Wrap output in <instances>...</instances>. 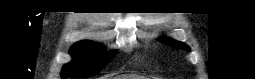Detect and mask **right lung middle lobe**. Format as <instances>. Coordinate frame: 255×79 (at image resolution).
Returning <instances> with one entry per match:
<instances>
[{
  "label": "right lung middle lobe",
  "mask_w": 255,
  "mask_h": 79,
  "mask_svg": "<svg viewBox=\"0 0 255 79\" xmlns=\"http://www.w3.org/2000/svg\"><path fill=\"white\" fill-rule=\"evenodd\" d=\"M74 61L65 65L61 76L86 77L97 74L106 66L103 62L105 52L98 44L90 41L77 43L71 50Z\"/></svg>",
  "instance_id": "right-lung-middle-lobe-1"
}]
</instances>
